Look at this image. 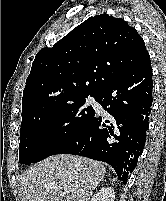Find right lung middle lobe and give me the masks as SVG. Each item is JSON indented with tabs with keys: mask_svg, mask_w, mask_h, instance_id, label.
I'll return each mask as SVG.
<instances>
[{
	"mask_svg": "<svg viewBox=\"0 0 166 201\" xmlns=\"http://www.w3.org/2000/svg\"><path fill=\"white\" fill-rule=\"evenodd\" d=\"M22 115L19 161L39 162L53 155L75 135L94 115L92 106L85 107L86 98Z\"/></svg>",
	"mask_w": 166,
	"mask_h": 201,
	"instance_id": "obj_1",
	"label": "right lung middle lobe"
}]
</instances>
